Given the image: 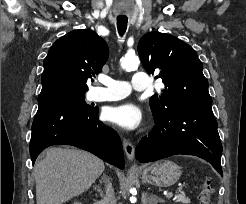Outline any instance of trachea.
I'll list each match as a JSON object with an SVG mask.
<instances>
[{
  "label": "trachea",
  "mask_w": 246,
  "mask_h": 204,
  "mask_svg": "<svg viewBox=\"0 0 246 204\" xmlns=\"http://www.w3.org/2000/svg\"><path fill=\"white\" fill-rule=\"evenodd\" d=\"M128 19L125 17L117 18V29L120 36H123L127 29Z\"/></svg>",
  "instance_id": "trachea-1"
}]
</instances>
